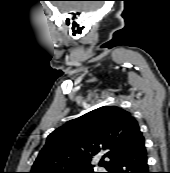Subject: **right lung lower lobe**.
Here are the masks:
<instances>
[{"mask_svg":"<svg viewBox=\"0 0 170 173\" xmlns=\"http://www.w3.org/2000/svg\"><path fill=\"white\" fill-rule=\"evenodd\" d=\"M107 173H150L145 145L121 156L106 167Z\"/></svg>","mask_w":170,"mask_h":173,"instance_id":"1","label":"right lung lower lobe"}]
</instances>
